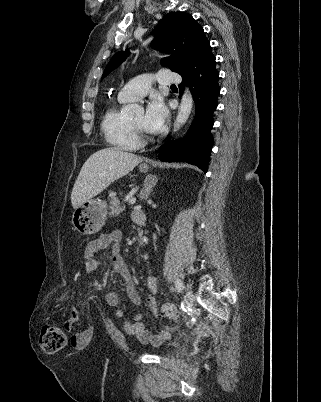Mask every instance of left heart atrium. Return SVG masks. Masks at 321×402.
Returning a JSON list of instances; mask_svg holds the SVG:
<instances>
[{"label":"left heart atrium","instance_id":"left-heart-atrium-1","mask_svg":"<svg viewBox=\"0 0 321 402\" xmlns=\"http://www.w3.org/2000/svg\"><path fill=\"white\" fill-rule=\"evenodd\" d=\"M168 117V111L160 99H152L145 111L143 126L148 133L160 131Z\"/></svg>","mask_w":321,"mask_h":402}]
</instances>
